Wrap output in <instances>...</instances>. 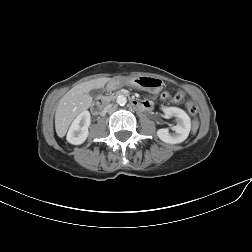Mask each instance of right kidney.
<instances>
[{
	"label": "right kidney",
	"instance_id": "1",
	"mask_svg": "<svg viewBox=\"0 0 252 252\" xmlns=\"http://www.w3.org/2000/svg\"><path fill=\"white\" fill-rule=\"evenodd\" d=\"M91 123V115L88 110L82 111L72 122L68 133L67 141L73 145H80L88 137V128Z\"/></svg>",
	"mask_w": 252,
	"mask_h": 252
}]
</instances>
